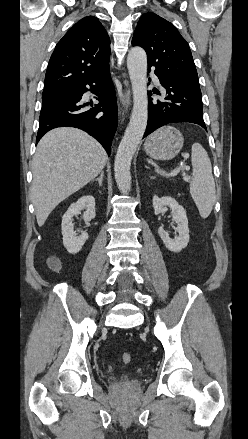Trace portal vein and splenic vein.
I'll list each match as a JSON object with an SVG mask.
<instances>
[{
  "mask_svg": "<svg viewBox=\"0 0 248 439\" xmlns=\"http://www.w3.org/2000/svg\"><path fill=\"white\" fill-rule=\"evenodd\" d=\"M185 169V170H189V167L188 166H185V167H183V165H180V166H178L177 168H175L173 171H172V175H177L182 169ZM184 179L186 180V181H188V177H184Z\"/></svg>",
  "mask_w": 248,
  "mask_h": 439,
  "instance_id": "1",
  "label": "portal vein and splenic vein"
}]
</instances>
